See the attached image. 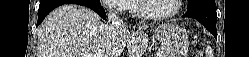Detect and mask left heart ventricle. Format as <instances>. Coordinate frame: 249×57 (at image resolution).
Segmentation results:
<instances>
[{"label":"left heart ventricle","instance_id":"obj_1","mask_svg":"<svg viewBox=\"0 0 249 57\" xmlns=\"http://www.w3.org/2000/svg\"><path fill=\"white\" fill-rule=\"evenodd\" d=\"M176 0H147L146 7L150 13L164 14L175 9Z\"/></svg>","mask_w":249,"mask_h":57}]
</instances>
